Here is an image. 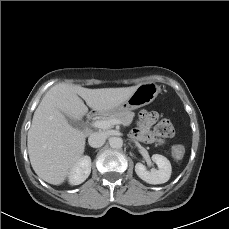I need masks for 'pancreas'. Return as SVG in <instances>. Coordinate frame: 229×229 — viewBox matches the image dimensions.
Instances as JSON below:
<instances>
[{
	"label": "pancreas",
	"mask_w": 229,
	"mask_h": 229,
	"mask_svg": "<svg viewBox=\"0 0 229 229\" xmlns=\"http://www.w3.org/2000/svg\"><path fill=\"white\" fill-rule=\"evenodd\" d=\"M134 117V113L131 111L118 112L113 114H107L102 117L103 120H119L124 126L131 124Z\"/></svg>",
	"instance_id": "obj_1"
}]
</instances>
